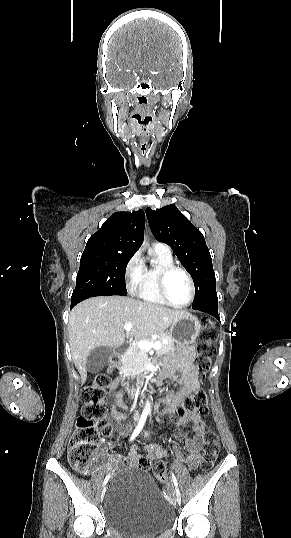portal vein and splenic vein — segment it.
<instances>
[{
	"label": "portal vein and splenic vein",
	"mask_w": 291,
	"mask_h": 538,
	"mask_svg": "<svg viewBox=\"0 0 291 538\" xmlns=\"http://www.w3.org/2000/svg\"><path fill=\"white\" fill-rule=\"evenodd\" d=\"M133 327L132 323L130 322H127L124 324V329L125 330H130L131 328ZM138 346L139 348L145 350V351H148L150 349H160L161 348V343L159 341L157 342H148V341H140L138 342Z\"/></svg>",
	"instance_id": "portal-vein-and-splenic-vein-1"
}]
</instances>
